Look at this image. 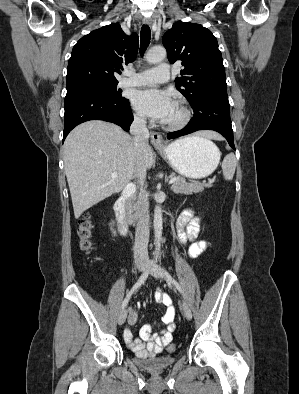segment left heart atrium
Listing matches in <instances>:
<instances>
[{
    "mask_svg": "<svg viewBox=\"0 0 299 394\" xmlns=\"http://www.w3.org/2000/svg\"><path fill=\"white\" fill-rule=\"evenodd\" d=\"M174 101L170 95L157 88L139 90L133 97V105L141 114L165 121L170 115Z\"/></svg>",
    "mask_w": 299,
    "mask_h": 394,
    "instance_id": "obj_1",
    "label": "left heart atrium"
}]
</instances>
